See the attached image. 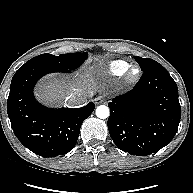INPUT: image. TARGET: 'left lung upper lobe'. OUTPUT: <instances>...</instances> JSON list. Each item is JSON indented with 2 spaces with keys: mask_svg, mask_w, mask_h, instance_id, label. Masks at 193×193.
Returning a JSON list of instances; mask_svg holds the SVG:
<instances>
[{
  "mask_svg": "<svg viewBox=\"0 0 193 193\" xmlns=\"http://www.w3.org/2000/svg\"><path fill=\"white\" fill-rule=\"evenodd\" d=\"M134 59L140 65L142 71L150 69L151 67L156 66L157 64H159L158 62H156V61H154L153 59H150V58L134 57Z\"/></svg>",
  "mask_w": 193,
  "mask_h": 193,
  "instance_id": "obj_1",
  "label": "left lung upper lobe"
}]
</instances>
